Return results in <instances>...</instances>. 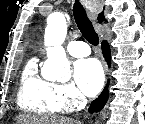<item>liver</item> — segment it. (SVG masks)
Here are the masks:
<instances>
[{"instance_id": "1", "label": "liver", "mask_w": 145, "mask_h": 124, "mask_svg": "<svg viewBox=\"0 0 145 124\" xmlns=\"http://www.w3.org/2000/svg\"><path fill=\"white\" fill-rule=\"evenodd\" d=\"M18 124H73L71 120L59 117L20 115L17 117Z\"/></svg>"}]
</instances>
